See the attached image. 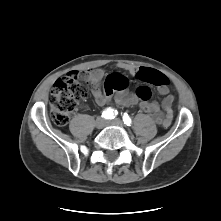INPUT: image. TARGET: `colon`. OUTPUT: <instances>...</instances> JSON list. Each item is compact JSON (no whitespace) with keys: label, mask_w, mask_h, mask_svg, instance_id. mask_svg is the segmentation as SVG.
I'll list each match as a JSON object with an SVG mask.
<instances>
[{"label":"colon","mask_w":221,"mask_h":221,"mask_svg":"<svg viewBox=\"0 0 221 221\" xmlns=\"http://www.w3.org/2000/svg\"><path fill=\"white\" fill-rule=\"evenodd\" d=\"M136 77L145 83L157 87L167 86L169 84V80L164 74L150 68H140ZM117 88L118 87H113L109 84L105 86V90L108 94H112L113 90ZM87 95L88 89L81 82L77 73L71 72L57 79L53 84L50 97V110L54 123L59 126L67 124L70 114L75 110L77 104L85 99ZM136 95L141 100H149L152 96V90L148 85H140L136 89Z\"/></svg>","instance_id":"5ec220e1"}]
</instances>
